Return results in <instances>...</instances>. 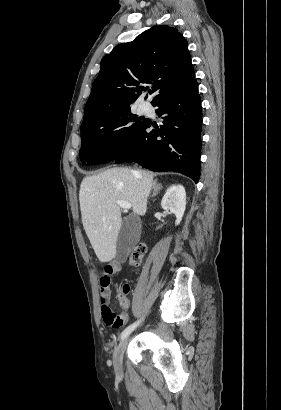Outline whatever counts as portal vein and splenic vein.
<instances>
[{"label":"portal vein and splenic vein","mask_w":281,"mask_h":410,"mask_svg":"<svg viewBox=\"0 0 281 410\" xmlns=\"http://www.w3.org/2000/svg\"><path fill=\"white\" fill-rule=\"evenodd\" d=\"M117 204L123 209H130L131 208V204L129 202L118 200Z\"/></svg>","instance_id":"obj_1"}]
</instances>
